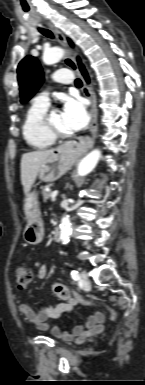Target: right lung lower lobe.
Returning <instances> with one entry per match:
<instances>
[{
  "mask_svg": "<svg viewBox=\"0 0 145 385\" xmlns=\"http://www.w3.org/2000/svg\"><path fill=\"white\" fill-rule=\"evenodd\" d=\"M79 66H80V70H81L83 76L85 77V79L87 80V82H89V78H88V76H87V73H86V71H85L83 65H79Z\"/></svg>",
  "mask_w": 145,
  "mask_h": 385,
  "instance_id": "obj_1",
  "label": "right lung lower lobe"
}]
</instances>
